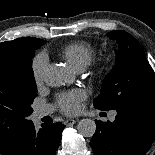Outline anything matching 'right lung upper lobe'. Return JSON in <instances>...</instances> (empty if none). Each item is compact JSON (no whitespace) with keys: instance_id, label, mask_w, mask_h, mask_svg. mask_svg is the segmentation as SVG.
<instances>
[{"instance_id":"cb5924a9","label":"right lung upper lobe","mask_w":155,"mask_h":155,"mask_svg":"<svg viewBox=\"0 0 155 155\" xmlns=\"http://www.w3.org/2000/svg\"><path fill=\"white\" fill-rule=\"evenodd\" d=\"M41 39L33 37H23L13 41L0 43V52L10 51L19 47H31L37 44Z\"/></svg>"}]
</instances>
